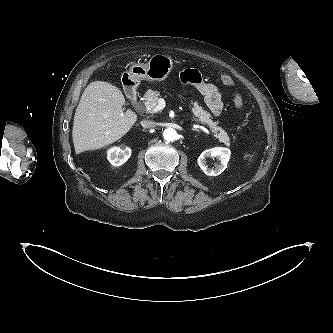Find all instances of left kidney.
Instances as JSON below:
<instances>
[{
	"label": "left kidney",
	"instance_id": "obj_1",
	"mask_svg": "<svg viewBox=\"0 0 333 333\" xmlns=\"http://www.w3.org/2000/svg\"><path fill=\"white\" fill-rule=\"evenodd\" d=\"M231 155V151L224 147H215L203 151L198 157V165L201 170L208 176L220 175L227 167ZM209 157L216 158L219 162L215 169L208 168L207 159Z\"/></svg>",
	"mask_w": 333,
	"mask_h": 333
}]
</instances>
